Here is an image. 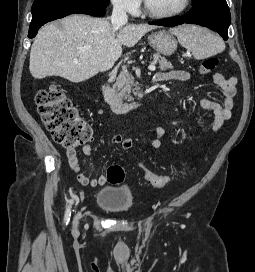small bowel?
<instances>
[{
    "label": "small bowel",
    "mask_w": 255,
    "mask_h": 272,
    "mask_svg": "<svg viewBox=\"0 0 255 272\" xmlns=\"http://www.w3.org/2000/svg\"><path fill=\"white\" fill-rule=\"evenodd\" d=\"M191 75L189 72L184 70H170V71H161L154 75L153 79L155 82H166V81H188ZM212 81L217 85L223 93V104H220L214 99L203 98L201 100V106L210 111L209 119L211 120V130L212 132L218 131L223 123L231 117V111L235 105V95H236V77L226 78L220 73H215L212 76ZM161 111L158 112L157 116L160 117ZM166 136V129L161 126L158 127L154 132V137L151 141V147L158 149L162 146L163 139ZM114 143L120 144L124 150H129L133 146V141L131 138L114 135L112 137ZM82 153L84 155H91L92 146L90 143H86L82 147ZM66 156L70 168L78 174V181L82 186H104L107 183V177L101 175L98 178H90L83 174H80L81 165L77 157L76 150L67 149Z\"/></svg>",
    "instance_id": "obj_1"
}]
</instances>
